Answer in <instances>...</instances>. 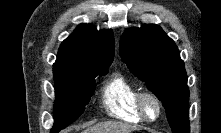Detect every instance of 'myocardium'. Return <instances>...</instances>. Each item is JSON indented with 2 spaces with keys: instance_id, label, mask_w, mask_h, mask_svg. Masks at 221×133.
Returning <instances> with one entry per match:
<instances>
[{
  "instance_id": "obj_1",
  "label": "myocardium",
  "mask_w": 221,
  "mask_h": 133,
  "mask_svg": "<svg viewBox=\"0 0 221 133\" xmlns=\"http://www.w3.org/2000/svg\"><path fill=\"white\" fill-rule=\"evenodd\" d=\"M148 103H152L156 108V114L153 117L148 114ZM136 107L142 120L149 123L158 121L163 112L161 100L155 93L150 91L140 92L136 100Z\"/></svg>"
}]
</instances>
